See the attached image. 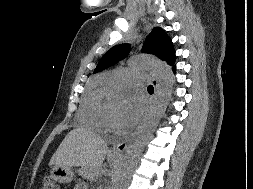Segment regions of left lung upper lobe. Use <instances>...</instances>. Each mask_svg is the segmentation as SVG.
<instances>
[{
    "mask_svg": "<svg viewBox=\"0 0 253 189\" xmlns=\"http://www.w3.org/2000/svg\"><path fill=\"white\" fill-rule=\"evenodd\" d=\"M129 51L130 47L128 44L114 46L102 57L95 68V72L101 71L122 60L128 55ZM142 51L156 55L165 60L169 65H173L175 62V51L172 42L160 27H155L146 37Z\"/></svg>",
    "mask_w": 253,
    "mask_h": 189,
    "instance_id": "5c2ea615",
    "label": "left lung upper lobe"
}]
</instances>
